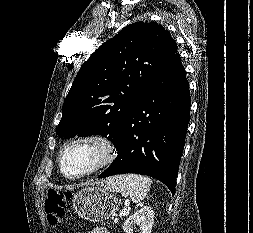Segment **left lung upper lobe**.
<instances>
[{"label": "left lung upper lobe", "mask_w": 253, "mask_h": 233, "mask_svg": "<svg viewBox=\"0 0 253 233\" xmlns=\"http://www.w3.org/2000/svg\"><path fill=\"white\" fill-rule=\"evenodd\" d=\"M177 45L156 22H135L81 66L56 128L61 138L99 134L115 144L125 119L162 76Z\"/></svg>", "instance_id": "obj_1"}]
</instances>
